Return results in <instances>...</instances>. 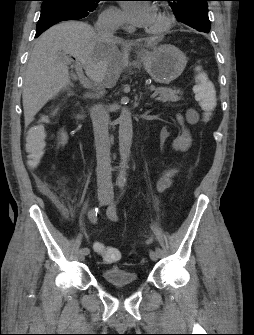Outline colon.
<instances>
[{
	"label": "colon",
	"instance_id": "colon-1",
	"mask_svg": "<svg viewBox=\"0 0 254 335\" xmlns=\"http://www.w3.org/2000/svg\"><path fill=\"white\" fill-rule=\"evenodd\" d=\"M193 91L205 119L208 120L217 107L216 91L214 84L200 67H197L195 71ZM45 132L44 124H37L31 129V141L27 142L28 151L25 159V164L28 165V172H41L42 170L41 165L44 164L43 158L46 145L40 140L45 137ZM98 251L107 263L117 262L121 257L119 250L115 247H102Z\"/></svg>",
	"mask_w": 254,
	"mask_h": 335
}]
</instances>
